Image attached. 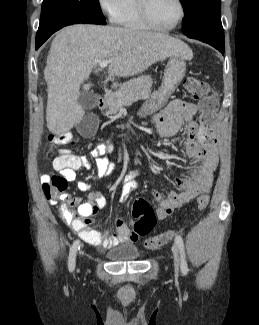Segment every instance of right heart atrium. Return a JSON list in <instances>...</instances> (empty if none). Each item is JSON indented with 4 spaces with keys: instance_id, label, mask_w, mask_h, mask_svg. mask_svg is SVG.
<instances>
[{
    "instance_id": "d8ad5b80",
    "label": "right heart atrium",
    "mask_w": 259,
    "mask_h": 325,
    "mask_svg": "<svg viewBox=\"0 0 259 325\" xmlns=\"http://www.w3.org/2000/svg\"><path fill=\"white\" fill-rule=\"evenodd\" d=\"M102 12L111 20H115L121 12L125 0H97Z\"/></svg>"
}]
</instances>
